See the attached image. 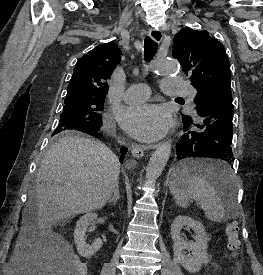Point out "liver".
Segmentation results:
<instances>
[{
    "label": "liver",
    "instance_id": "1",
    "mask_svg": "<svg viewBox=\"0 0 263 275\" xmlns=\"http://www.w3.org/2000/svg\"><path fill=\"white\" fill-rule=\"evenodd\" d=\"M120 168L118 157L103 143L79 135L62 136L37 173L38 225L51 227L102 208L119 181Z\"/></svg>",
    "mask_w": 263,
    "mask_h": 275
}]
</instances>
